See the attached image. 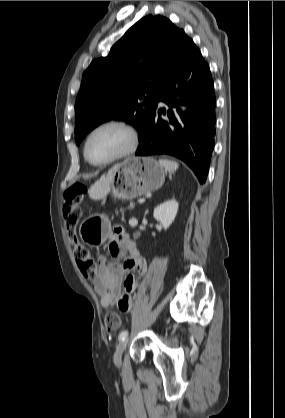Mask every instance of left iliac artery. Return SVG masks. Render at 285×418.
Returning a JSON list of instances; mask_svg holds the SVG:
<instances>
[{
	"label": "left iliac artery",
	"instance_id": "left-iliac-artery-1",
	"mask_svg": "<svg viewBox=\"0 0 285 418\" xmlns=\"http://www.w3.org/2000/svg\"><path fill=\"white\" fill-rule=\"evenodd\" d=\"M128 336V330H124L119 334V340H124Z\"/></svg>",
	"mask_w": 285,
	"mask_h": 418
}]
</instances>
